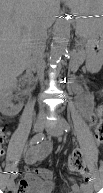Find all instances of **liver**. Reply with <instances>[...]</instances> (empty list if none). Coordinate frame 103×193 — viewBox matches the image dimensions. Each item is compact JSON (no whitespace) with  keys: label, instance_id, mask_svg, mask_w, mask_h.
Instances as JSON below:
<instances>
[{"label":"liver","instance_id":"obj_1","mask_svg":"<svg viewBox=\"0 0 103 193\" xmlns=\"http://www.w3.org/2000/svg\"><path fill=\"white\" fill-rule=\"evenodd\" d=\"M70 0H1V76L15 79L30 61L34 28L48 27L59 12L60 2Z\"/></svg>","mask_w":103,"mask_h":193}]
</instances>
